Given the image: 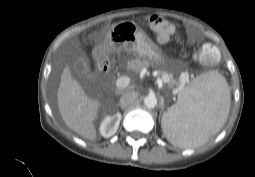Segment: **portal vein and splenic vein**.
Here are the masks:
<instances>
[{"instance_id": "18ae733b", "label": "portal vein and splenic vein", "mask_w": 255, "mask_h": 177, "mask_svg": "<svg viewBox=\"0 0 255 177\" xmlns=\"http://www.w3.org/2000/svg\"><path fill=\"white\" fill-rule=\"evenodd\" d=\"M129 83H130V78L128 76H122L116 80V86L118 88H125L129 85ZM158 85H160V86L162 85L161 80L158 82ZM181 90H182V87H179V88L175 89V92L177 93Z\"/></svg>"}]
</instances>
